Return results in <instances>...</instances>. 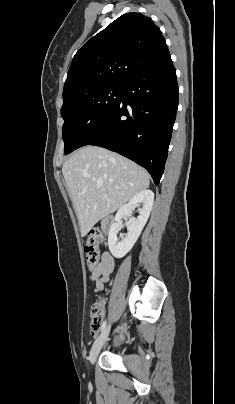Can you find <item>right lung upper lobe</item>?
I'll list each match as a JSON object with an SVG mask.
<instances>
[{
	"mask_svg": "<svg viewBox=\"0 0 235 404\" xmlns=\"http://www.w3.org/2000/svg\"><path fill=\"white\" fill-rule=\"evenodd\" d=\"M169 56L160 29L149 17L123 14L75 54L64 85L63 101L67 103L104 86L123 85L133 75Z\"/></svg>",
	"mask_w": 235,
	"mask_h": 404,
	"instance_id": "cb5924a9",
	"label": "right lung upper lobe"
}]
</instances>
